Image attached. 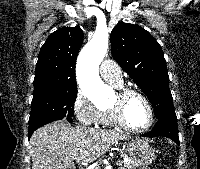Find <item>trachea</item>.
Segmentation results:
<instances>
[{
    "instance_id": "1",
    "label": "trachea",
    "mask_w": 200,
    "mask_h": 169,
    "mask_svg": "<svg viewBox=\"0 0 200 169\" xmlns=\"http://www.w3.org/2000/svg\"><path fill=\"white\" fill-rule=\"evenodd\" d=\"M97 3H100L101 2V0H95Z\"/></svg>"
}]
</instances>
